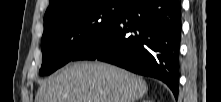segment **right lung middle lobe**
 I'll return each instance as SVG.
<instances>
[{
  "mask_svg": "<svg viewBox=\"0 0 221 102\" xmlns=\"http://www.w3.org/2000/svg\"><path fill=\"white\" fill-rule=\"evenodd\" d=\"M125 5L126 0H81L44 21L40 74L72 61L118 20Z\"/></svg>",
  "mask_w": 221,
  "mask_h": 102,
  "instance_id": "1",
  "label": "right lung middle lobe"
}]
</instances>
